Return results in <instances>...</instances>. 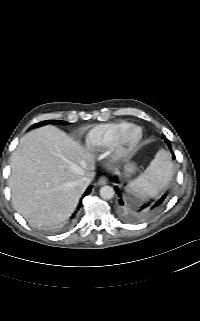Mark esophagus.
Wrapping results in <instances>:
<instances>
[{
    "label": "esophagus",
    "instance_id": "34e87169",
    "mask_svg": "<svg viewBox=\"0 0 200 321\" xmlns=\"http://www.w3.org/2000/svg\"><path fill=\"white\" fill-rule=\"evenodd\" d=\"M107 181H108V178H107L106 176H101V177L99 178V180H98V183H99L100 185H105V184L107 183Z\"/></svg>",
    "mask_w": 200,
    "mask_h": 321
}]
</instances>
